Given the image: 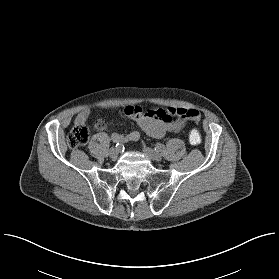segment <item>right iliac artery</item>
<instances>
[{"instance_id": "82829eb1", "label": "right iliac artery", "mask_w": 279, "mask_h": 279, "mask_svg": "<svg viewBox=\"0 0 279 279\" xmlns=\"http://www.w3.org/2000/svg\"><path fill=\"white\" fill-rule=\"evenodd\" d=\"M114 146L119 150L121 148V143L118 141L113 140Z\"/></svg>"}]
</instances>
